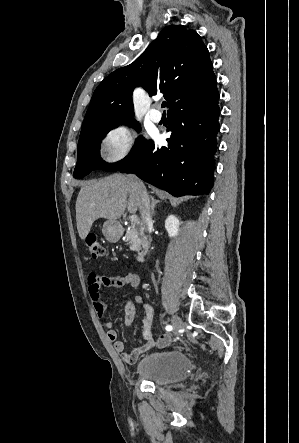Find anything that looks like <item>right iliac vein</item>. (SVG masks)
I'll return each mask as SVG.
<instances>
[{
    "instance_id": "63e3f726",
    "label": "right iliac vein",
    "mask_w": 299,
    "mask_h": 443,
    "mask_svg": "<svg viewBox=\"0 0 299 443\" xmlns=\"http://www.w3.org/2000/svg\"><path fill=\"white\" fill-rule=\"evenodd\" d=\"M171 321H172V325H173L174 331H175L176 333H178V331H179V330L182 328V326H183V322H182V320H181L180 317H178L177 315H173Z\"/></svg>"
}]
</instances>
